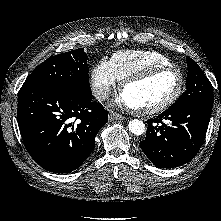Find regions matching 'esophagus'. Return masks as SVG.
<instances>
[{
	"label": "esophagus",
	"mask_w": 221,
	"mask_h": 221,
	"mask_svg": "<svg viewBox=\"0 0 221 221\" xmlns=\"http://www.w3.org/2000/svg\"><path fill=\"white\" fill-rule=\"evenodd\" d=\"M126 117L116 113V112H110L109 113V120L114 121V120H124Z\"/></svg>",
	"instance_id": "esophagus-1"
}]
</instances>
